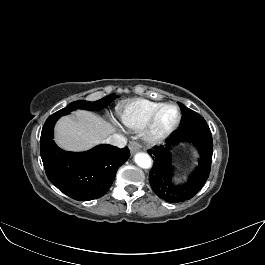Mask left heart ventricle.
<instances>
[{
	"instance_id": "1",
	"label": "left heart ventricle",
	"mask_w": 265,
	"mask_h": 265,
	"mask_svg": "<svg viewBox=\"0 0 265 265\" xmlns=\"http://www.w3.org/2000/svg\"><path fill=\"white\" fill-rule=\"evenodd\" d=\"M177 117V111L174 107H165L158 115L155 122V131L161 132L169 128Z\"/></svg>"
}]
</instances>
